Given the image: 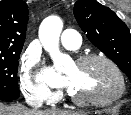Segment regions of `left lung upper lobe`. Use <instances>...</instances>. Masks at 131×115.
Instances as JSON below:
<instances>
[{
	"label": "left lung upper lobe",
	"mask_w": 131,
	"mask_h": 115,
	"mask_svg": "<svg viewBox=\"0 0 131 115\" xmlns=\"http://www.w3.org/2000/svg\"><path fill=\"white\" fill-rule=\"evenodd\" d=\"M74 16L90 42L131 80V34L125 23L96 0H78Z\"/></svg>",
	"instance_id": "1"
}]
</instances>
